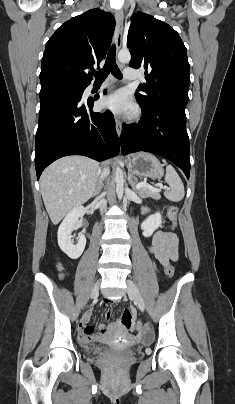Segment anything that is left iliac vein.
Instances as JSON below:
<instances>
[{
    "instance_id": "left-iliac-vein-1",
    "label": "left iliac vein",
    "mask_w": 235,
    "mask_h": 404,
    "mask_svg": "<svg viewBox=\"0 0 235 404\" xmlns=\"http://www.w3.org/2000/svg\"><path fill=\"white\" fill-rule=\"evenodd\" d=\"M126 283H127V292H128V295H129L131 298H133V300H134L135 304L138 306V308H139L141 311H144V309H145V304H144L143 298H142V296H141V294H140L138 288L136 287V285L134 284V282L131 281V280H129V279L126 281Z\"/></svg>"
}]
</instances>
